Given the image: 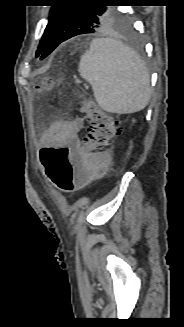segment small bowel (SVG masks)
<instances>
[{
  "label": "small bowel",
  "mask_w": 184,
  "mask_h": 327,
  "mask_svg": "<svg viewBox=\"0 0 184 327\" xmlns=\"http://www.w3.org/2000/svg\"><path fill=\"white\" fill-rule=\"evenodd\" d=\"M84 129V120L82 117H77L73 120H59L50 125L48 130L43 136V143L46 148L47 143H57L58 148H67L70 145L76 143L82 134ZM98 157V156H92ZM110 160L107 157L106 164H87L98 165V172H88L87 180H91L101 176L109 167ZM48 165V164H43Z\"/></svg>",
  "instance_id": "1"
}]
</instances>
